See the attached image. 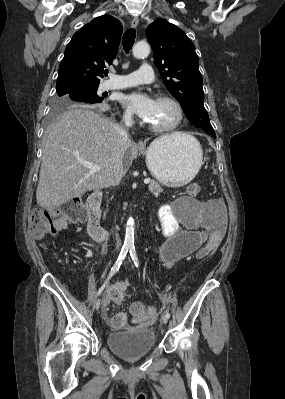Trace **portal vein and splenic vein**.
I'll list each match as a JSON object with an SVG mask.
<instances>
[{
	"mask_svg": "<svg viewBox=\"0 0 285 399\" xmlns=\"http://www.w3.org/2000/svg\"><path fill=\"white\" fill-rule=\"evenodd\" d=\"M83 166L88 168L91 172H98L101 169L98 165L92 164V163H83ZM144 183L145 184H149L150 183V179H145Z\"/></svg>",
	"mask_w": 285,
	"mask_h": 399,
	"instance_id": "obj_1",
	"label": "portal vein and splenic vein"
}]
</instances>
